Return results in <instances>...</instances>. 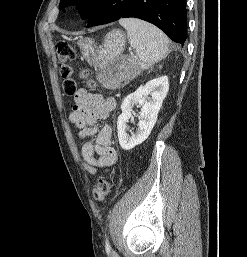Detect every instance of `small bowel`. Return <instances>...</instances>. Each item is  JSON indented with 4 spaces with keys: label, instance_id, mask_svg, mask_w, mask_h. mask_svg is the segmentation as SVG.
Instances as JSON below:
<instances>
[{
    "label": "small bowel",
    "instance_id": "1",
    "mask_svg": "<svg viewBox=\"0 0 247 257\" xmlns=\"http://www.w3.org/2000/svg\"><path fill=\"white\" fill-rule=\"evenodd\" d=\"M74 101L69 120L79 130V137L85 140L82 146L84 165L88 172L94 174L97 168L110 167L117 160V152L112 146L111 126H98L99 121L109 119L116 102L112 97L86 89L78 90Z\"/></svg>",
    "mask_w": 247,
    "mask_h": 257
}]
</instances>
